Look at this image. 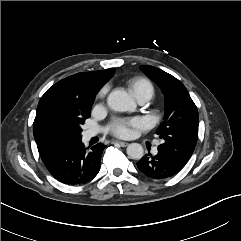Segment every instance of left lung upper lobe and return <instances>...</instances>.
Listing matches in <instances>:
<instances>
[{"label":"left lung upper lobe","instance_id":"left-lung-upper-lobe-1","mask_svg":"<svg viewBox=\"0 0 241 241\" xmlns=\"http://www.w3.org/2000/svg\"><path fill=\"white\" fill-rule=\"evenodd\" d=\"M140 68L159 85L165 96L164 121L156 130V134L163 139L158 151L185 166L198 139L199 116L196 105L185 86L172 75L150 65Z\"/></svg>","mask_w":241,"mask_h":241}]
</instances>
